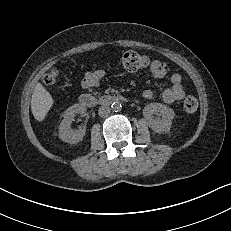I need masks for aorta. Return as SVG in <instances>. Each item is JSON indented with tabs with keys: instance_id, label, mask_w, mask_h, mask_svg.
Listing matches in <instances>:
<instances>
[{
	"instance_id": "obj_1",
	"label": "aorta",
	"mask_w": 231,
	"mask_h": 231,
	"mask_svg": "<svg viewBox=\"0 0 231 231\" xmlns=\"http://www.w3.org/2000/svg\"><path fill=\"white\" fill-rule=\"evenodd\" d=\"M111 108H112V110L115 111V112L120 111L121 108H122L121 102H120V101H114V102L112 103V105H111Z\"/></svg>"
}]
</instances>
